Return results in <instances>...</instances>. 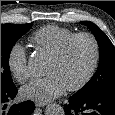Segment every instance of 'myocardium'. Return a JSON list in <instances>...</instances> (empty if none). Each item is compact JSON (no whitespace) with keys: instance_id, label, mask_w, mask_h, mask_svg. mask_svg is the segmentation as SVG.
Wrapping results in <instances>:
<instances>
[{"instance_id":"1","label":"myocardium","mask_w":115,"mask_h":115,"mask_svg":"<svg viewBox=\"0 0 115 115\" xmlns=\"http://www.w3.org/2000/svg\"><path fill=\"white\" fill-rule=\"evenodd\" d=\"M82 38L87 39L92 44L93 60H92L91 67H90L88 73L85 75V77L77 84L67 87V90L71 91V92L78 91V90L82 89L83 87H85L90 82V80L93 78V76L95 75V73L97 71L99 61H100V47H99V43H98L97 39L90 33H86V32L76 33L73 36H71L70 38H68L60 46V48L57 50V52L53 56H51V60L54 62L62 61L63 58L65 57L68 49L70 48V46L76 40L82 39Z\"/></svg>"}]
</instances>
